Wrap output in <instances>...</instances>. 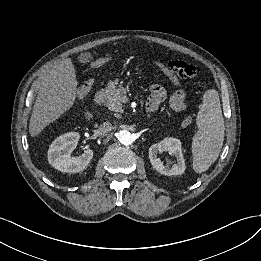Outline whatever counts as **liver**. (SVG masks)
Returning <instances> with one entry per match:
<instances>
[{
    "mask_svg": "<svg viewBox=\"0 0 261 261\" xmlns=\"http://www.w3.org/2000/svg\"><path fill=\"white\" fill-rule=\"evenodd\" d=\"M77 85L71 58L60 61L50 70L41 83L30 118L29 133L32 137L39 135L73 106Z\"/></svg>",
    "mask_w": 261,
    "mask_h": 261,
    "instance_id": "6515ba94",
    "label": "liver"
}]
</instances>
